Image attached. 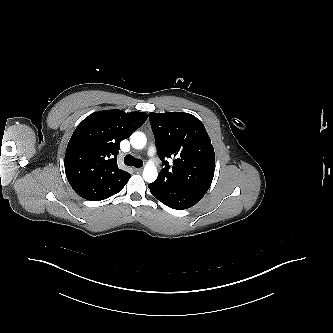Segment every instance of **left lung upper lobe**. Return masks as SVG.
Wrapping results in <instances>:
<instances>
[{
	"label": "left lung upper lobe",
	"instance_id": "1",
	"mask_svg": "<svg viewBox=\"0 0 333 333\" xmlns=\"http://www.w3.org/2000/svg\"><path fill=\"white\" fill-rule=\"evenodd\" d=\"M157 153L164 168L160 182L206 193L215 171V154L203 123L182 112L149 113ZM167 159H173L172 167Z\"/></svg>",
	"mask_w": 333,
	"mask_h": 333
}]
</instances>
